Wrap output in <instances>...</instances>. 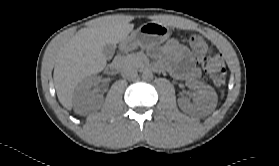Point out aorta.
Here are the masks:
<instances>
[{
	"label": "aorta",
	"instance_id": "aorta-1",
	"mask_svg": "<svg viewBox=\"0 0 279 166\" xmlns=\"http://www.w3.org/2000/svg\"><path fill=\"white\" fill-rule=\"evenodd\" d=\"M142 78L145 81H151L153 79V73L150 70H145L142 73Z\"/></svg>",
	"mask_w": 279,
	"mask_h": 166
}]
</instances>
